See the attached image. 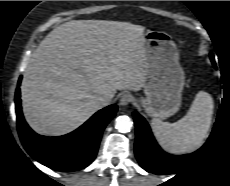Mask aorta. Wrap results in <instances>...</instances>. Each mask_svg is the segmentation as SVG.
<instances>
[{
	"label": "aorta",
	"mask_w": 230,
	"mask_h": 186,
	"mask_svg": "<svg viewBox=\"0 0 230 186\" xmlns=\"http://www.w3.org/2000/svg\"><path fill=\"white\" fill-rule=\"evenodd\" d=\"M132 121L128 116H119L115 121L116 129L121 133L129 132L132 127Z\"/></svg>",
	"instance_id": "aorta-1"
}]
</instances>
